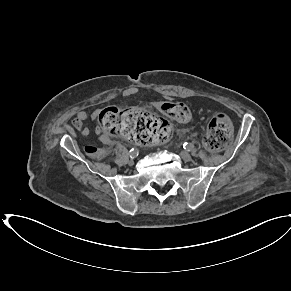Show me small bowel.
<instances>
[{
  "label": "small bowel",
  "mask_w": 291,
  "mask_h": 291,
  "mask_svg": "<svg viewBox=\"0 0 291 291\" xmlns=\"http://www.w3.org/2000/svg\"><path fill=\"white\" fill-rule=\"evenodd\" d=\"M89 115L86 111L80 110L76 113L72 126L78 130L82 136H89L90 129L84 126V122L88 119ZM96 133L99 134V141L104 145H110L112 143L111 138L104 133H101L99 128H96Z\"/></svg>",
  "instance_id": "obj_1"
}]
</instances>
